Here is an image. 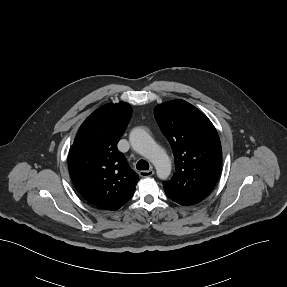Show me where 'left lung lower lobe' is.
I'll return each mask as SVG.
<instances>
[{
    "instance_id": "obj_1",
    "label": "left lung lower lobe",
    "mask_w": 287,
    "mask_h": 287,
    "mask_svg": "<svg viewBox=\"0 0 287 287\" xmlns=\"http://www.w3.org/2000/svg\"><path fill=\"white\" fill-rule=\"evenodd\" d=\"M171 199V198H170ZM175 201V200H174ZM175 202H177V203H179V204H182V205H191V204H186V203H183V202H178V201H175Z\"/></svg>"
}]
</instances>
